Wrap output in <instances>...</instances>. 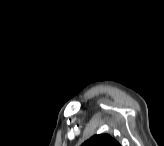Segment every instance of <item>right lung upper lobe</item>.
Listing matches in <instances>:
<instances>
[{"label":"right lung upper lobe","instance_id":"right-lung-upper-lobe-1","mask_svg":"<svg viewBox=\"0 0 164 146\" xmlns=\"http://www.w3.org/2000/svg\"><path fill=\"white\" fill-rule=\"evenodd\" d=\"M83 146H120L117 141L112 139L108 134H100L91 137Z\"/></svg>","mask_w":164,"mask_h":146}]
</instances>
